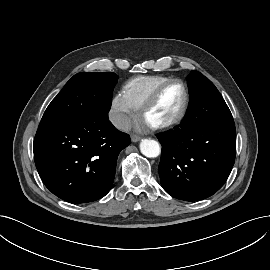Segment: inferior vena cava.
Instances as JSON below:
<instances>
[{
    "label": "inferior vena cava",
    "instance_id": "obj_1",
    "mask_svg": "<svg viewBox=\"0 0 270 270\" xmlns=\"http://www.w3.org/2000/svg\"><path fill=\"white\" fill-rule=\"evenodd\" d=\"M110 120L113 125L119 129L127 131L131 128V122L127 115L123 113H113L110 115Z\"/></svg>",
    "mask_w": 270,
    "mask_h": 270
}]
</instances>
